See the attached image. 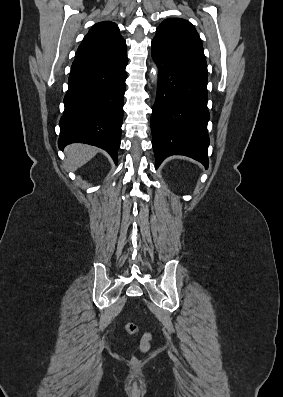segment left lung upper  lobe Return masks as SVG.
<instances>
[{
    "mask_svg": "<svg viewBox=\"0 0 283 397\" xmlns=\"http://www.w3.org/2000/svg\"><path fill=\"white\" fill-rule=\"evenodd\" d=\"M152 45L178 59L196 73L207 77V63L201 39L187 20H164L156 30Z\"/></svg>",
    "mask_w": 283,
    "mask_h": 397,
    "instance_id": "1",
    "label": "left lung upper lobe"
}]
</instances>
